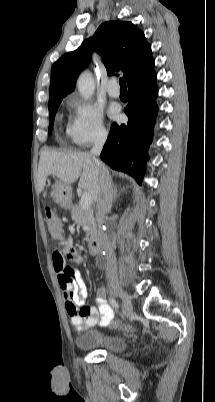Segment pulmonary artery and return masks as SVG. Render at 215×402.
<instances>
[{
  "label": "pulmonary artery",
  "mask_w": 215,
  "mask_h": 402,
  "mask_svg": "<svg viewBox=\"0 0 215 402\" xmlns=\"http://www.w3.org/2000/svg\"><path fill=\"white\" fill-rule=\"evenodd\" d=\"M106 89L111 97L117 98L120 96V90L117 86V81L115 79L109 80Z\"/></svg>",
  "instance_id": "1"
}]
</instances>
